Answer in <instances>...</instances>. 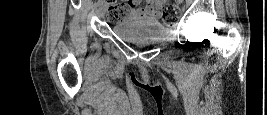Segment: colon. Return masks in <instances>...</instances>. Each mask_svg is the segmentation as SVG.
I'll use <instances>...</instances> for the list:
<instances>
[{"label":"colon","instance_id":"5ec220e1","mask_svg":"<svg viewBox=\"0 0 267 115\" xmlns=\"http://www.w3.org/2000/svg\"><path fill=\"white\" fill-rule=\"evenodd\" d=\"M131 5L128 3H117L110 6L107 18L112 23L121 22L130 14ZM180 16L179 6L175 3H168L162 7V17L166 21H174Z\"/></svg>","mask_w":267,"mask_h":115}]
</instances>
